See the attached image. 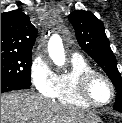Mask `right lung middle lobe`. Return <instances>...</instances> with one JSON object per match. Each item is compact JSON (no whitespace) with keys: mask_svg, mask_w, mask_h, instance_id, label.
<instances>
[{"mask_svg":"<svg viewBox=\"0 0 122 123\" xmlns=\"http://www.w3.org/2000/svg\"><path fill=\"white\" fill-rule=\"evenodd\" d=\"M32 54L1 52V79L31 86Z\"/></svg>","mask_w":122,"mask_h":123,"instance_id":"dd1d6c3e","label":"right lung middle lobe"}]
</instances>
